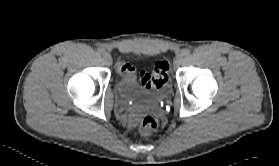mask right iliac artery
Wrapping results in <instances>:
<instances>
[{
    "label": "right iliac artery",
    "mask_w": 279,
    "mask_h": 166,
    "mask_svg": "<svg viewBox=\"0 0 279 166\" xmlns=\"http://www.w3.org/2000/svg\"><path fill=\"white\" fill-rule=\"evenodd\" d=\"M97 53L98 54H104L105 53V50L103 48H98L97 49Z\"/></svg>",
    "instance_id": "1"
}]
</instances>
